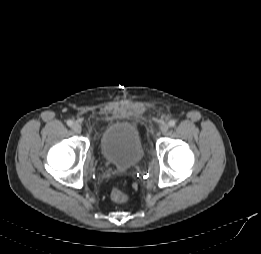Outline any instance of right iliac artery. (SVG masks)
I'll list each match as a JSON object with an SVG mask.
<instances>
[{
	"instance_id": "right-iliac-artery-1",
	"label": "right iliac artery",
	"mask_w": 261,
	"mask_h": 254,
	"mask_svg": "<svg viewBox=\"0 0 261 254\" xmlns=\"http://www.w3.org/2000/svg\"><path fill=\"white\" fill-rule=\"evenodd\" d=\"M67 125L71 127L73 125V121L72 120H68L67 121Z\"/></svg>"
}]
</instances>
